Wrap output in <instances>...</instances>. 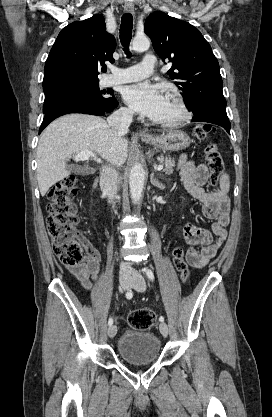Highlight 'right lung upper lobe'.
Returning a JSON list of instances; mask_svg holds the SVG:
<instances>
[{
  "mask_svg": "<svg viewBox=\"0 0 272 417\" xmlns=\"http://www.w3.org/2000/svg\"><path fill=\"white\" fill-rule=\"evenodd\" d=\"M116 40L106 32L103 16L76 21L59 33L44 68L43 90L98 83V69L113 62Z\"/></svg>",
  "mask_w": 272,
  "mask_h": 417,
  "instance_id": "right-lung-upper-lobe-1",
  "label": "right lung upper lobe"
}]
</instances>
